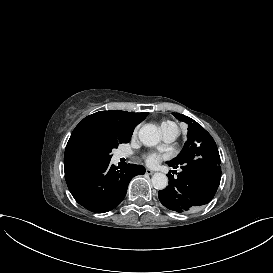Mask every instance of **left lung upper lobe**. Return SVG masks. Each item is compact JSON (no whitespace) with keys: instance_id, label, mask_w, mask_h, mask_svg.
<instances>
[{"instance_id":"1","label":"left lung upper lobe","mask_w":273,"mask_h":273,"mask_svg":"<svg viewBox=\"0 0 273 273\" xmlns=\"http://www.w3.org/2000/svg\"><path fill=\"white\" fill-rule=\"evenodd\" d=\"M188 124L187 141L182 151L169 164H183L193 159H206L220 164V156L212 136L195 120L179 113H172Z\"/></svg>"}]
</instances>
